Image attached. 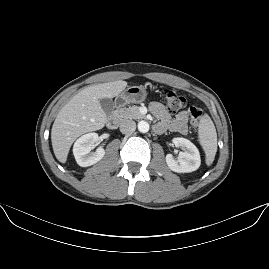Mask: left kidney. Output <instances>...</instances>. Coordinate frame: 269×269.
I'll return each mask as SVG.
<instances>
[{
  "mask_svg": "<svg viewBox=\"0 0 269 269\" xmlns=\"http://www.w3.org/2000/svg\"><path fill=\"white\" fill-rule=\"evenodd\" d=\"M171 143L176 147H183L184 152L179 156L183 159L176 160L172 153L166 155L168 166L176 172H191L199 168L201 159L198 148L188 139L183 137H174Z\"/></svg>",
  "mask_w": 269,
  "mask_h": 269,
  "instance_id": "left-kidney-1",
  "label": "left kidney"
}]
</instances>
